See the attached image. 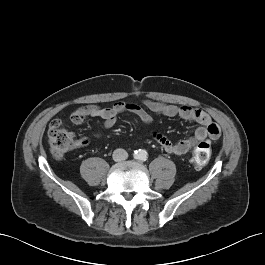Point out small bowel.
Segmentation results:
<instances>
[{"label":"small bowel","instance_id":"1","mask_svg":"<svg viewBox=\"0 0 265 265\" xmlns=\"http://www.w3.org/2000/svg\"><path fill=\"white\" fill-rule=\"evenodd\" d=\"M143 105L153 114L166 117H180L184 120L193 121L200 125L196 128L192 137L176 143L172 142L160 132L153 133L154 140L165 152L171 155L182 156L193 147L196 141L203 140L205 138L216 140L220 136L219 126L205 111L186 105L176 106L152 100H144ZM144 107L130 102H117L110 107L87 105L75 109L71 113L70 119L74 124L79 125L88 117H100L103 120L104 128L110 129L115 125L119 115L123 113H131L136 115L143 123L149 124L152 122V117ZM85 143H87L86 140H84V144Z\"/></svg>","mask_w":265,"mask_h":265}]
</instances>
